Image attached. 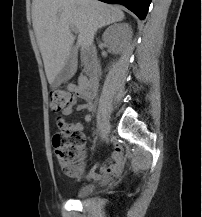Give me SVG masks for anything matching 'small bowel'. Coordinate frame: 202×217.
Returning a JSON list of instances; mask_svg holds the SVG:
<instances>
[{
	"instance_id": "small-bowel-1",
	"label": "small bowel",
	"mask_w": 202,
	"mask_h": 217,
	"mask_svg": "<svg viewBox=\"0 0 202 217\" xmlns=\"http://www.w3.org/2000/svg\"><path fill=\"white\" fill-rule=\"evenodd\" d=\"M83 79H80L79 83L77 85L75 84H69L67 86V89L73 94L75 97H81L85 100L84 103L79 104L77 106L78 111H91L94 107L93 99L95 96V93H89L87 92L83 85H82ZM72 111V108L69 107L64 110V114L68 115ZM85 122L90 123L92 120V117L90 114L85 115ZM71 127L76 130H83V124L80 122L72 123ZM125 152L124 149L119 145L115 144L114 151L111 156V160L109 163L100 164L93 166L87 173V176L93 179H98L101 175H104L106 178H110L112 176H115L119 173H121L125 168ZM99 170L100 173L97 172Z\"/></svg>"
}]
</instances>
